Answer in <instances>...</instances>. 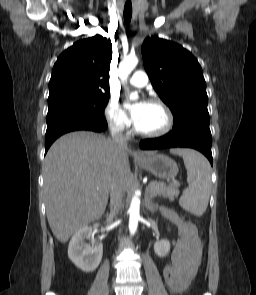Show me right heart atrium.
<instances>
[{"label": "right heart atrium", "instance_id": "right-heart-atrium-1", "mask_svg": "<svg viewBox=\"0 0 256 295\" xmlns=\"http://www.w3.org/2000/svg\"><path fill=\"white\" fill-rule=\"evenodd\" d=\"M105 117L109 126L116 132H125L129 127L125 111L115 100L110 101L106 106Z\"/></svg>", "mask_w": 256, "mask_h": 295}]
</instances>
